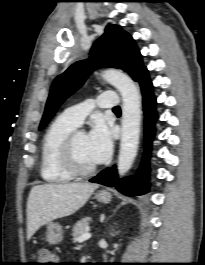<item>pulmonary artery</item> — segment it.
<instances>
[{
	"instance_id": "1",
	"label": "pulmonary artery",
	"mask_w": 205,
	"mask_h": 265,
	"mask_svg": "<svg viewBox=\"0 0 205 265\" xmlns=\"http://www.w3.org/2000/svg\"><path fill=\"white\" fill-rule=\"evenodd\" d=\"M95 106L114 108L119 106V97L114 91H105L94 101L88 100L67 108L62 115L76 126H79Z\"/></svg>"
}]
</instances>
